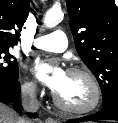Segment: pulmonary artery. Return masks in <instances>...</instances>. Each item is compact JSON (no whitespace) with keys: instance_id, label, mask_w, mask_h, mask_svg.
Segmentation results:
<instances>
[{"instance_id":"obj_1","label":"pulmonary artery","mask_w":118,"mask_h":123,"mask_svg":"<svg viewBox=\"0 0 118 123\" xmlns=\"http://www.w3.org/2000/svg\"><path fill=\"white\" fill-rule=\"evenodd\" d=\"M67 36L62 30H56L48 35H43L35 38L34 46L38 49L62 52L67 48Z\"/></svg>"}]
</instances>
